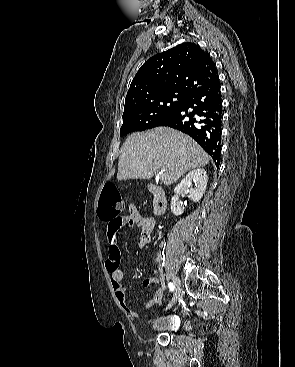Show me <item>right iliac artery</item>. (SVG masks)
Returning <instances> with one entry per match:
<instances>
[{
  "label": "right iliac artery",
  "instance_id": "right-iliac-artery-1",
  "mask_svg": "<svg viewBox=\"0 0 295 367\" xmlns=\"http://www.w3.org/2000/svg\"><path fill=\"white\" fill-rule=\"evenodd\" d=\"M158 261H159V263H161L162 262V265H163V263H164V256H162V255H160L159 257H158ZM168 286H169V289H170V291L171 292H173L174 291V285H173V283H169L168 284Z\"/></svg>",
  "mask_w": 295,
  "mask_h": 367
}]
</instances>
